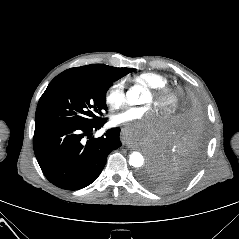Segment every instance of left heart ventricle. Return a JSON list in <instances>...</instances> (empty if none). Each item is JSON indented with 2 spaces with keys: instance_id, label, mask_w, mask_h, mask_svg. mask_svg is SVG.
I'll list each match as a JSON object with an SVG mask.
<instances>
[{
  "instance_id": "left-heart-ventricle-1",
  "label": "left heart ventricle",
  "mask_w": 239,
  "mask_h": 239,
  "mask_svg": "<svg viewBox=\"0 0 239 239\" xmlns=\"http://www.w3.org/2000/svg\"><path fill=\"white\" fill-rule=\"evenodd\" d=\"M143 103L146 104V105L155 106L154 102H153V99H152V96L150 95L149 92L146 93V95L143 99Z\"/></svg>"
}]
</instances>
